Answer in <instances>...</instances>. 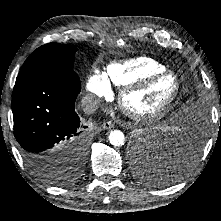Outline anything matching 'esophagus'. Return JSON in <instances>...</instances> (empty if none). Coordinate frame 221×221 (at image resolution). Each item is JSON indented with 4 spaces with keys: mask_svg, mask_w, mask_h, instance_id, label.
I'll return each mask as SVG.
<instances>
[{
    "mask_svg": "<svg viewBox=\"0 0 221 221\" xmlns=\"http://www.w3.org/2000/svg\"><path fill=\"white\" fill-rule=\"evenodd\" d=\"M102 127L104 129H111L114 127V124L111 122V121H104L103 124H102Z\"/></svg>",
    "mask_w": 221,
    "mask_h": 221,
    "instance_id": "1",
    "label": "esophagus"
}]
</instances>
